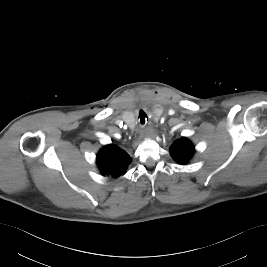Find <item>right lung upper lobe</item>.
Wrapping results in <instances>:
<instances>
[{"label": "right lung upper lobe", "mask_w": 267, "mask_h": 267, "mask_svg": "<svg viewBox=\"0 0 267 267\" xmlns=\"http://www.w3.org/2000/svg\"><path fill=\"white\" fill-rule=\"evenodd\" d=\"M132 159L116 145L104 146L98 153L96 163L103 176L118 178L126 173Z\"/></svg>", "instance_id": "1"}]
</instances>
